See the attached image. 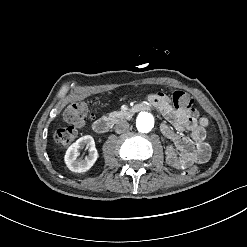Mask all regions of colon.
Listing matches in <instances>:
<instances>
[{"label":"colon","mask_w":247,"mask_h":247,"mask_svg":"<svg viewBox=\"0 0 247 247\" xmlns=\"http://www.w3.org/2000/svg\"><path fill=\"white\" fill-rule=\"evenodd\" d=\"M194 103L195 98L187 96L186 91L183 89L174 92L172 95V104L178 109H185L186 107L192 109ZM63 117L68 123L79 126L86 125L91 119V115L84 102H73L67 105ZM75 133V129L72 126H62L58 128L54 134L56 146L58 148H64L70 145L75 138ZM186 172L195 174L198 172V168L190 166L186 168Z\"/></svg>","instance_id":"colon-1"}]
</instances>
